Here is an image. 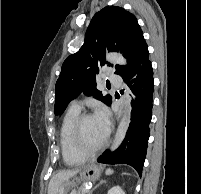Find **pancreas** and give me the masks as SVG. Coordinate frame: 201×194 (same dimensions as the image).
<instances>
[{"label": "pancreas", "instance_id": "1", "mask_svg": "<svg viewBox=\"0 0 201 194\" xmlns=\"http://www.w3.org/2000/svg\"><path fill=\"white\" fill-rule=\"evenodd\" d=\"M86 189L84 187H81L77 192H75L74 194H90L88 192L85 191Z\"/></svg>", "mask_w": 201, "mask_h": 194}]
</instances>
